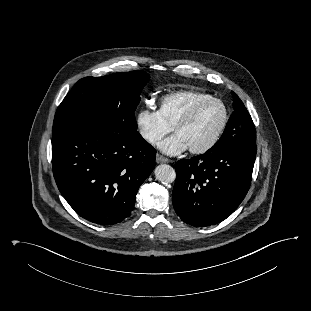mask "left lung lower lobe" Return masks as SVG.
I'll return each mask as SVG.
<instances>
[{"instance_id": "left-lung-lower-lobe-1", "label": "left lung lower lobe", "mask_w": 311, "mask_h": 311, "mask_svg": "<svg viewBox=\"0 0 311 311\" xmlns=\"http://www.w3.org/2000/svg\"><path fill=\"white\" fill-rule=\"evenodd\" d=\"M256 152V144L238 143L179 160L172 193L177 215L195 227L230 216L248 192Z\"/></svg>"}]
</instances>
